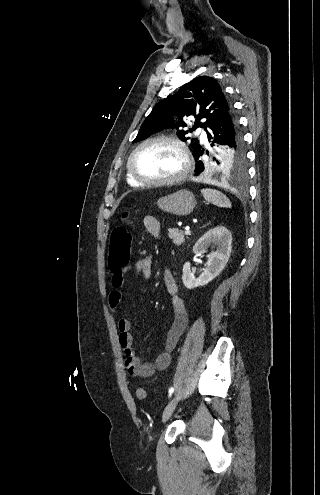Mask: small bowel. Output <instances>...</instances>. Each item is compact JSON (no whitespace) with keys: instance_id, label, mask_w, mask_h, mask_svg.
I'll use <instances>...</instances> for the list:
<instances>
[{"instance_id":"1","label":"small bowel","mask_w":320,"mask_h":495,"mask_svg":"<svg viewBox=\"0 0 320 495\" xmlns=\"http://www.w3.org/2000/svg\"><path fill=\"white\" fill-rule=\"evenodd\" d=\"M143 224L149 234L154 238H159L160 222L157 218L151 215L145 216ZM130 271L149 279L152 274V255L139 259L133 267L127 266L119 272L112 273L111 284L113 290L109 295V307L114 314H116L122 302V293L119 289L124 283V275ZM163 278L166 290L171 296L173 320L166 333L163 349L152 362H142L136 355L133 346L134 339L131 333V323L127 319L118 321L119 344L125 354V365L129 373L135 377L148 378L156 371L166 369L170 365L172 351L187 326V307L184 300L178 295V286L172 272L166 269Z\"/></svg>"}]
</instances>
